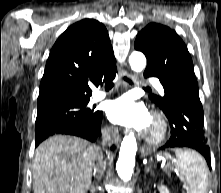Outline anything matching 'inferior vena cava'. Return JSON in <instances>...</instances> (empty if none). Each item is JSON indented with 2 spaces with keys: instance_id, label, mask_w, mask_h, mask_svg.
<instances>
[{
  "instance_id": "1",
  "label": "inferior vena cava",
  "mask_w": 221,
  "mask_h": 193,
  "mask_svg": "<svg viewBox=\"0 0 221 193\" xmlns=\"http://www.w3.org/2000/svg\"><path fill=\"white\" fill-rule=\"evenodd\" d=\"M117 132L116 130H109L105 131L102 136V144L107 145L113 141L115 138ZM106 169V161L103 158V155L101 154V157L94 165V176H96L97 179H101L102 175L104 174V171Z\"/></svg>"
}]
</instances>
